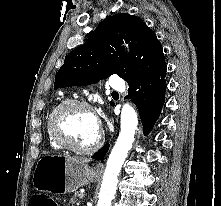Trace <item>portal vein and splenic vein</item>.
<instances>
[{
  "label": "portal vein and splenic vein",
  "instance_id": "1",
  "mask_svg": "<svg viewBox=\"0 0 221 206\" xmlns=\"http://www.w3.org/2000/svg\"><path fill=\"white\" fill-rule=\"evenodd\" d=\"M84 196H83V194L82 195H80V198L82 199Z\"/></svg>",
  "mask_w": 221,
  "mask_h": 206
}]
</instances>
